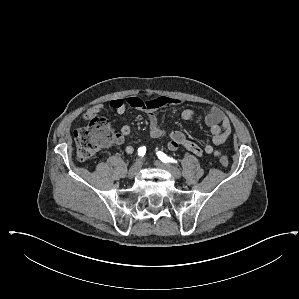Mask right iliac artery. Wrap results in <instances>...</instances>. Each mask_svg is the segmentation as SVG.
Segmentation results:
<instances>
[{"label": "right iliac artery", "instance_id": "1", "mask_svg": "<svg viewBox=\"0 0 299 299\" xmlns=\"http://www.w3.org/2000/svg\"><path fill=\"white\" fill-rule=\"evenodd\" d=\"M145 153H146V147L145 146H142V147L138 148V155L140 157H144Z\"/></svg>", "mask_w": 299, "mask_h": 299}]
</instances>
